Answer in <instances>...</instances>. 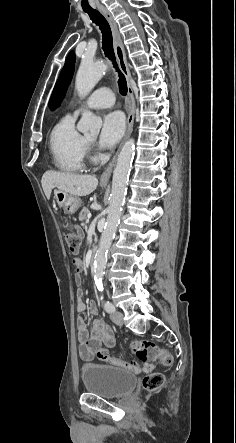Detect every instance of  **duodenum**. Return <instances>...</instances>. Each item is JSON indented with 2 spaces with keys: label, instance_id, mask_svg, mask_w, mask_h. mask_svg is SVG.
<instances>
[{
  "label": "duodenum",
  "instance_id": "410a0bca",
  "mask_svg": "<svg viewBox=\"0 0 236 443\" xmlns=\"http://www.w3.org/2000/svg\"><path fill=\"white\" fill-rule=\"evenodd\" d=\"M94 257H95V254H94V253L90 254V256L88 257V262H89L90 265L93 264V262H94Z\"/></svg>",
  "mask_w": 236,
  "mask_h": 443
}]
</instances>
